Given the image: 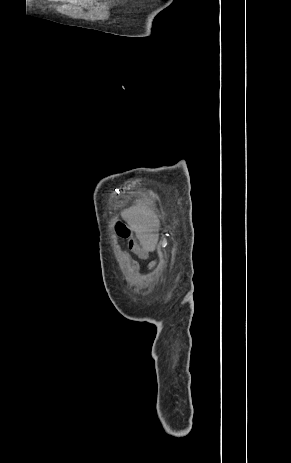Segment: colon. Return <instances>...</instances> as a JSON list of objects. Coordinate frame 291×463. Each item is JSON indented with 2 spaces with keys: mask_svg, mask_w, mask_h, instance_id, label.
Instances as JSON below:
<instances>
[{
  "mask_svg": "<svg viewBox=\"0 0 291 463\" xmlns=\"http://www.w3.org/2000/svg\"><path fill=\"white\" fill-rule=\"evenodd\" d=\"M116 232L119 236H126L129 233L128 228L123 223L119 222L116 225Z\"/></svg>",
  "mask_w": 291,
  "mask_h": 463,
  "instance_id": "colon-1",
  "label": "colon"
}]
</instances>
